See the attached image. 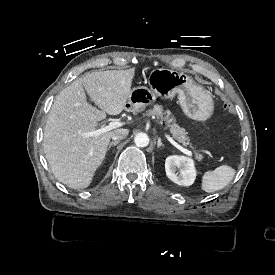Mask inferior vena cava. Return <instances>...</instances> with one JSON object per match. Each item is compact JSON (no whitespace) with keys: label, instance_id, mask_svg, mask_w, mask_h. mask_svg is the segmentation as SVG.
Listing matches in <instances>:
<instances>
[{"label":"inferior vena cava","instance_id":"obj_1","mask_svg":"<svg viewBox=\"0 0 275 275\" xmlns=\"http://www.w3.org/2000/svg\"><path fill=\"white\" fill-rule=\"evenodd\" d=\"M129 131L127 129L124 128H120V129H116L112 135V140L116 141V140H122L124 139L127 135H128Z\"/></svg>","mask_w":275,"mask_h":275}]
</instances>
